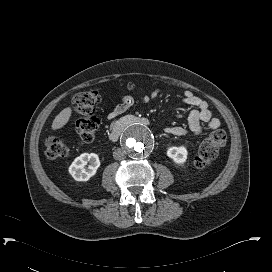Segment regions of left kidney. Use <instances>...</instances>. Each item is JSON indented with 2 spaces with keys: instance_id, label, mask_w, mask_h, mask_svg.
I'll return each mask as SVG.
<instances>
[{
  "instance_id": "obj_1",
  "label": "left kidney",
  "mask_w": 272,
  "mask_h": 272,
  "mask_svg": "<svg viewBox=\"0 0 272 272\" xmlns=\"http://www.w3.org/2000/svg\"><path fill=\"white\" fill-rule=\"evenodd\" d=\"M167 156L176 164H184L187 160L188 151L184 146H172L168 148Z\"/></svg>"
}]
</instances>
